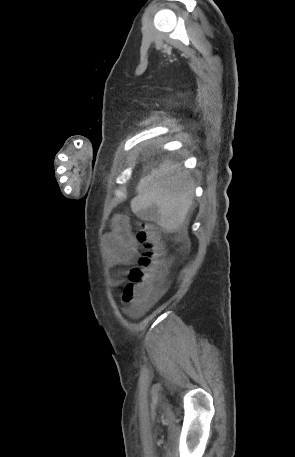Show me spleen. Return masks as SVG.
<instances>
[{
    "label": "spleen",
    "mask_w": 295,
    "mask_h": 457,
    "mask_svg": "<svg viewBox=\"0 0 295 457\" xmlns=\"http://www.w3.org/2000/svg\"><path fill=\"white\" fill-rule=\"evenodd\" d=\"M137 192L131 201L132 211L155 220L167 232H175L193 203L194 182L178 164L166 160L140 180Z\"/></svg>",
    "instance_id": "1"
}]
</instances>
